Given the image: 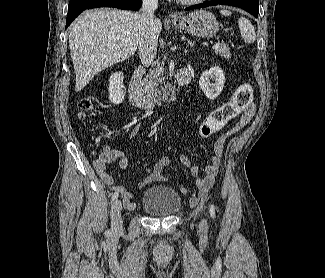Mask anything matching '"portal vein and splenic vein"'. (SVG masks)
Returning a JSON list of instances; mask_svg holds the SVG:
<instances>
[{"instance_id": "1", "label": "portal vein and splenic vein", "mask_w": 325, "mask_h": 278, "mask_svg": "<svg viewBox=\"0 0 325 278\" xmlns=\"http://www.w3.org/2000/svg\"><path fill=\"white\" fill-rule=\"evenodd\" d=\"M220 42H216L214 45H213V49H217L220 47ZM187 52V50H185V53Z\"/></svg>"}]
</instances>
